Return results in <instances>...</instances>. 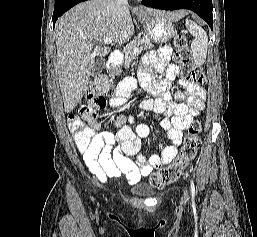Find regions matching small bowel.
<instances>
[{
    "instance_id": "small-bowel-1",
    "label": "small bowel",
    "mask_w": 257,
    "mask_h": 237,
    "mask_svg": "<svg viewBox=\"0 0 257 237\" xmlns=\"http://www.w3.org/2000/svg\"><path fill=\"white\" fill-rule=\"evenodd\" d=\"M170 59L171 50L163 47L157 52H148L141 64L142 87L157 93L158 97L142 100L138 108L163 115L160 126L167 132L170 140L169 145L158 143V154L145 157L141 153L140 141L149 135V127L146 124H138L134 129L131 128L127 125V122L133 121L131 115L120 114L114 118L113 126L117 129L116 133L99 132L105 124L99 121L95 109L123 106L137 86L136 79H122L109 101L81 108L80 116L89 124L86 131L92 139L87 147L81 146L75 137L74 140L88 170L99 182H105L107 178L124 176L128 183H137L142 177L170 163L177 156L183 132L189 128L204 106L205 91L198 85L181 81L183 90L171 95L168 80L175 77L177 67L169 64ZM152 69L164 71L166 80L153 81Z\"/></svg>"
}]
</instances>
